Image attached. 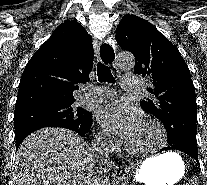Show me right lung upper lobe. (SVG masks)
I'll use <instances>...</instances> for the list:
<instances>
[{
  "label": "right lung upper lobe",
  "instance_id": "right-lung-upper-lobe-1",
  "mask_svg": "<svg viewBox=\"0 0 207 185\" xmlns=\"http://www.w3.org/2000/svg\"><path fill=\"white\" fill-rule=\"evenodd\" d=\"M92 37L76 21L61 23L28 61L15 111L44 104L72 105L75 84L89 81L93 67Z\"/></svg>",
  "mask_w": 207,
  "mask_h": 185
}]
</instances>
